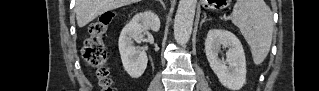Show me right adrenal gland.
Here are the masks:
<instances>
[{
    "mask_svg": "<svg viewBox=\"0 0 319 91\" xmlns=\"http://www.w3.org/2000/svg\"><path fill=\"white\" fill-rule=\"evenodd\" d=\"M157 1L160 2L162 4V6L165 8L163 0H157Z\"/></svg>",
    "mask_w": 319,
    "mask_h": 91,
    "instance_id": "2a0ac1e0",
    "label": "right adrenal gland"
}]
</instances>
